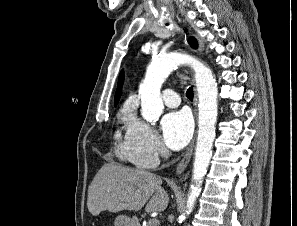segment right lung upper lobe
Segmentation results:
<instances>
[{
    "mask_svg": "<svg viewBox=\"0 0 297 226\" xmlns=\"http://www.w3.org/2000/svg\"><path fill=\"white\" fill-rule=\"evenodd\" d=\"M123 82H124V74L122 71L119 75L118 87H117L116 94H115V105L117 104V102L121 96Z\"/></svg>",
    "mask_w": 297,
    "mask_h": 226,
    "instance_id": "1",
    "label": "right lung upper lobe"
}]
</instances>
